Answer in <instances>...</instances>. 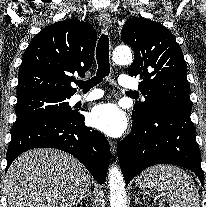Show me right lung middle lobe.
Returning <instances> with one entry per match:
<instances>
[{"instance_id": "dd1d6c3e", "label": "right lung middle lobe", "mask_w": 206, "mask_h": 207, "mask_svg": "<svg viewBox=\"0 0 206 207\" xmlns=\"http://www.w3.org/2000/svg\"><path fill=\"white\" fill-rule=\"evenodd\" d=\"M71 95L35 94L18 99L16 121L19 125L43 117H58L74 114L67 102Z\"/></svg>"}]
</instances>
